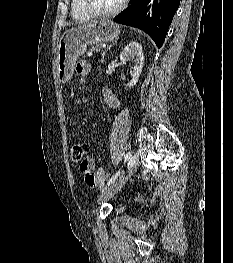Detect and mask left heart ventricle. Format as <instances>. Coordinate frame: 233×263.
Here are the masks:
<instances>
[{
	"mask_svg": "<svg viewBox=\"0 0 233 263\" xmlns=\"http://www.w3.org/2000/svg\"><path fill=\"white\" fill-rule=\"evenodd\" d=\"M90 6L97 11H109L115 8L120 0H88Z\"/></svg>",
	"mask_w": 233,
	"mask_h": 263,
	"instance_id": "obj_1",
	"label": "left heart ventricle"
}]
</instances>
